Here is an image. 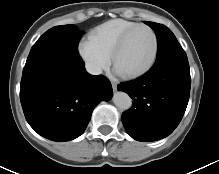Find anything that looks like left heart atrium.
I'll return each mask as SVG.
<instances>
[{
    "instance_id": "39dd6f15",
    "label": "left heart atrium",
    "mask_w": 219,
    "mask_h": 174,
    "mask_svg": "<svg viewBox=\"0 0 219 174\" xmlns=\"http://www.w3.org/2000/svg\"><path fill=\"white\" fill-rule=\"evenodd\" d=\"M115 72H116L117 74H120V71H119V69H117V68H115Z\"/></svg>"
}]
</instances>
